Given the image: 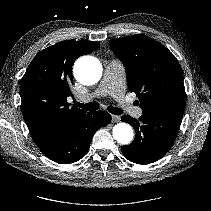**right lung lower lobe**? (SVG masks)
Masks as SVG:
<instances>
[{
	"label": "right lung lower lobe",
	"instance_id": "right-lung-lower-lobe-1",
	"mask_svg": "<svg viewBox=\"0 0 211 211\" xmlns=\"http://www.w3.org/2000/svg\"><path fill=\"white\" fill-rule=\"evenodd\" d=\"M110 122L111 115L105 111L86 112L79 115L51 145L41 151L57 163L76 162L88 152L96 130Z\"/></svg>",
	"mask_w": 211,
	"mask_h": 211
}]
</instances>
